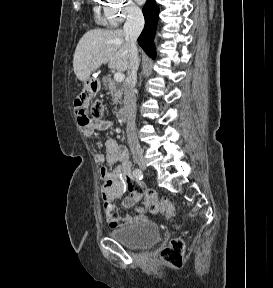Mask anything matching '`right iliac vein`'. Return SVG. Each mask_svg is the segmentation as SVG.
<instances>
[{
  "instance_id": "63e3f726",
  "label": "right iliac vein",
  "mask_w": 273,
  "mask_h": 288,
  "mask_svg": "<svg viewBox=\"0 0 273 288\" xmlns=\"http://www.w3.org/2000/svg\"><path fill=\"white\" fill-rule=\"evenodd\" d=\"M135 162L137 163V165L142 169V170H146L147 169V163L146 160L143 157H136L135 158Z\"/></svg>"
}]
</instances>
